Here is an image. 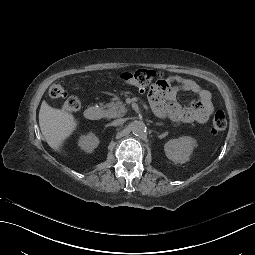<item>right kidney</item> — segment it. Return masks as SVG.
Instances as JSON below:
<instances>
[{
    "label": "right kidney",
    "mask_w": 255,
    "mask_h": 255,
    "mask_svg": "<svg viewBox=\"0 0 255 255\" xmlns=\"http://www.w3.org/2000/svg\"><path fill=\"white\" fill-rule=\"evenodd\" d=\"M99 145V139L92 132L79 138L78 146L87 153H91Z\"/></svg>",
    "instance_id": "right-kidney-1"
}]
</instances>
